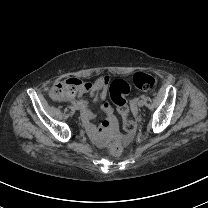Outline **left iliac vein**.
<instances>
[{"mask_svg":"<svg viewBox=\"0 0 208 208\" xmlns=\"http://www.w3.org/2000/svg\"><path fill=\"white\" fill-rule=\"evenodd\" d=\"M145 104V101L143 99H140L138 102H137V105L139 107H142L143 105Z\"/></svg>","mask_w":208,"mask_h":208,"instance_id":"1","label":"left iliac vein"}]
</instances>
